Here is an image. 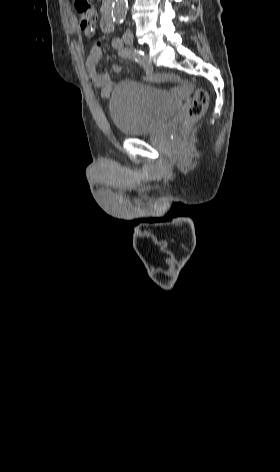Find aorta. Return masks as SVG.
Instances as JSON below:
<instances>
[{"mask_svg":"<svg viewBox=\"0 0 280 472\" xmlns=\"http://www.w3.org/2000/svg\"><path fill=\"white\" fill-rule=\"evenodd\" d=\"M128 8L127 0H114L112 5V18L113 21L119 23L126 16Z\"/></svg>","mask_w":280,"mask_h":472,"instance_id":"obj_1","label":"aorta"}]
</instances>
